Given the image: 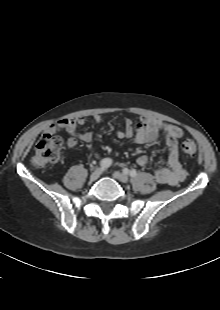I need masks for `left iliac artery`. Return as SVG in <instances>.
<instances>
[{"label":"left iliac artery","instance_id":"left-iliac-artery-1","mask_svg":"<svg viewBox=\"0 0 220 310\" xmlns=\"http://www.w3.org/2000/svg\"><path fill=\"white\" fill-rule=\"evenodd\" d=\"M129 175L131 177H135L137 175V171L135 169H132L131 171H129Z\"/></svg>","mask_w":220,"mask_h":310}]
</instances>
